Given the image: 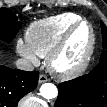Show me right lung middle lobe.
Segmentation results:
<instances>
[{
	"mask_svg": "<svg viewBox=\"0 0 107 107\" xmlns=\"http://www.w3.org/2000/svg\"><path fill=\"white\" fill-rule=\"evenodd\" d=\"M21 27L13 12L7 8L0 9V39L10 42Z\"/></svg>",
	"mask_w": 107,
	"mask_h": 107,
	"instance_id": "1",
	"label": "right lung middle lobe"
}]
</instances>
